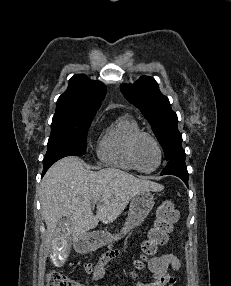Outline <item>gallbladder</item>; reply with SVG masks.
<instances>
[{
  "label": "gallbladder",
  "instance_id": "gallbladder-1",
  "mask_svg": "<svg viewBox=\"0 0 231 286\" xmlns=\"http://www.w3.org/2000/svg\"><path fill=\"white\" fill-rule=\"evenodd\" d=\"M74 227V224L72 223L70 217L63 216L61 217V220L59 221L58 225L55 226V229L57 230V233L54 236L56 238H53L50 240L51 245L50 247V257L52 263H55L57 266L64 265L66 259L70 255L68 252L71 249L70 243V235H71V228Z\"/></svg>",
  "mask_w": 231,
  "mask_h": 286
}]
</instances>
